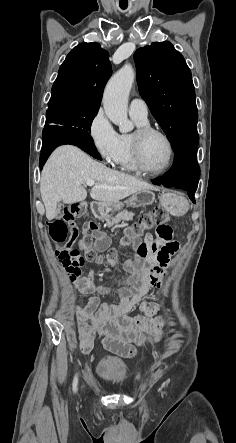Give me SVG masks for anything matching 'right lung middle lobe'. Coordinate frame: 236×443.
<instances>
[{
    "mask_svg": "<svg viewBox=\"0 0 236 443\" xmlns=\"http://www.w3.org/2000/svg\"><path fill=\"white\" fill-rule=\"evenodd\" d=\"M98 109L66 101L48 104L45 128L67 127L68 131L74 134L91 138L89 131Z\"/></svg>",
    "mask_w": 236,
    "mask_h": 443,
    "instance_id": "obj_1",
    "label": "right lung middle lobe"
}]
</instances>
